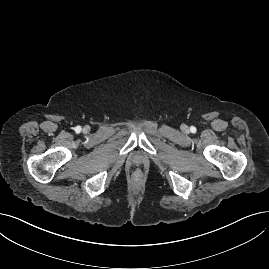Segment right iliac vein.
Returning <instances> with one entry per match:
<instances>
[{
    "instance_id": "1",
    "label": "right iliac vein",
    "mask_w": 269,
    "mask_h": 269,
    "mask_svg": "<svg viewBox=\"0 0 269 269\" xmlns=\"http://www.w3.org/2000/svg\"><path fill=\"white\" fill-rule=\"evenodd\" d=\"M88 131H89V127L86 126V127L84 128V132H88Z\"/></svg>"
}]
</instances>
